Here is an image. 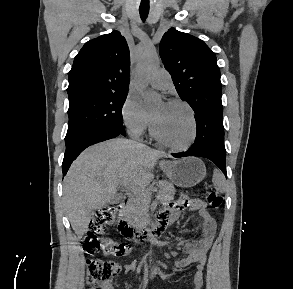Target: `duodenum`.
I'll return each mask as SVG.
<instances>
[{"instance_id":"410a0bca","label":"duodenum","mask_w":293,"mask_h":289,"mask_svg":"<svg viewBox=\"0 0 293 289\" xmlns=\"http://www.w3.org/2000/svg\"><path fill=\"white\" fill-rule=\"evenodd\" d=\"M130 200L125 197L122 202L118 205L119 217L117 220L118 231L128 239H137L140 243L142 242H153L158 236H160L166 226L163 219L158 218L156 222L151 225L144 227L143 229L137 231L132 227L126 217V212L129 208Z\"/></svg>"}]
</instances>
